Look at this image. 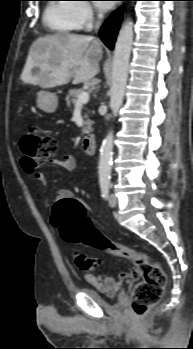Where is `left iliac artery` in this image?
Segmentation results:
<instances>
[{"label": "left iliac artery", "mask_w": 193, "mask_h": 349, "mask_svg": "<svg viewBox=\"0 0 193 349\" xmlns=\"http://www.w3.org/2000/svg\"><path fill=\"white\" fill-rule=\"evenodd\" d=\"M111 183L110 182H102L101 183V193H102V197L104 199L108 198V193H109V189L111 187Z\"/></svg>", "instance_id": "obj_1"}]
</instances>
